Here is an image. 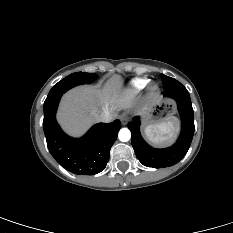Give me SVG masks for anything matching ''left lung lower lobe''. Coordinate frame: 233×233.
Returning a JSON list of instances; mask_svg holds the SVG:
<instances>
[{
  "label": "left lung lower lobe",
  "instance_id": "1",
  "mask_svg": "<svg viewBox=\"0 0 233 233\" xmlns=\"http://www.w3.org/2000/svg\"><path fill=\"white\" fill-rule=\"evenodd\" d=\"M163 95L177 102L182 121L181 134L173 146L165 149L149 146L141 137L139 117H134L132 122L128 123L135 154L139 161L147 167H169L178 163L186 155L195 131L194 112L187 89L180 82H176L171 87L164 88Z\"/></svg>",
  "mask_w": 233,
  "mask_h": 233
}]
</instances>
